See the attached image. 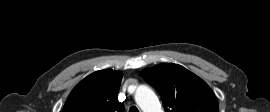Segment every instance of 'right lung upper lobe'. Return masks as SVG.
Returning <instances> with one entry per match:
<instances>
[{"mask_svg":"<svg viewBox=\"0 0 270 112\" xmlns=\"http://www.w3.org/2000/svg\"><path fill=\"white\" fill-rule=\"evenodd\" d=\"M122 79L119 71H96L84 78L70 93L63 112H125L118 101Z\"/></svg>","mask_w":270,"mask_h":112,"instance_id":"cb5924a9","label":"right lung upper lobe"}]
</instances>
